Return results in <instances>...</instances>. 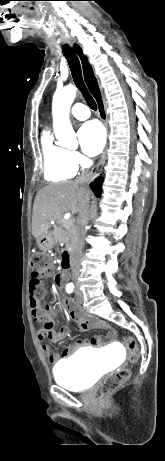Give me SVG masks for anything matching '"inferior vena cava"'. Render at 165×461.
I'll use <instances>...</instances> for the list:
<instances>
[{
  "label": "inferior vena cava",
  "instance_id": "inferior-vena-cava-1",
  "mask_svg": "<svg viewBox=\"0 0 165 461\" xmlns=\"http://www.w3.org/2000/svg\"><path fill=\"white\" fill-rule=\"evenodd\" d=\"M85 176L79 178L78 182L80 184H84L86 182ZM89 199L86 200V204L83 210L79 214L77 229L75 234V244L73 250V259H72V276L73 279H77L80 273V262H81V255H82V248L84 246V238L86 234L85 227L88 223L89 218Z\"/></svg>",
  "mask_w": 165,
  "mask_h": 461
}]
</instances>
